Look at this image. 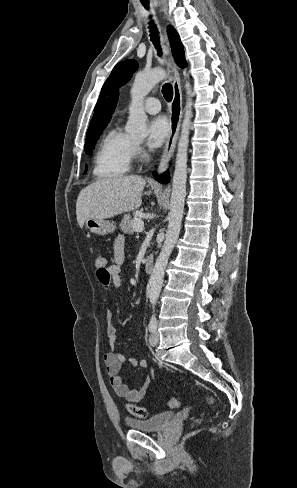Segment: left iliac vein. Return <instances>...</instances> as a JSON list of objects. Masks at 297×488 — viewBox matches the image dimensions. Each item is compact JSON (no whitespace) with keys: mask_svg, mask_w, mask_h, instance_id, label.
<instances>
[{"mask_svg":"<svg viewBox=\"0 0 297 488\" xmlns=\"http://www.w3.org/2000/svg\"><path fill=\"white\" fill-rule=\"evenodd\" d=\"M149 343L151 346H156L159 343V333L157 331H154L150 338H149Z\"/></svg>","mask_w":297,"mask_h":488,"instance_id":"obj_1","label":"left iliac vein"}]
</instances>
